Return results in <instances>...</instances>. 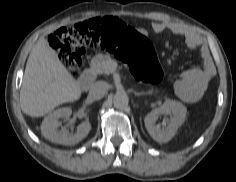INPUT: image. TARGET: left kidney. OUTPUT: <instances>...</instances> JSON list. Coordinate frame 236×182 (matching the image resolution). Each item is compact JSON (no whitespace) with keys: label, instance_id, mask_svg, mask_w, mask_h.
Wrapping results in <instances>:
<instances>
[{"label":"left kidney","instance_id":"5707ae66","mask_svg":"<svg viewBox=\"0 0 236 182\" xmlns=\"http://www.w3.org/2000/svg\"><path fill=\"white\" fill-rule=\"evenodd\" d=\"M186 114L187 109L182 103L167 99L163 105L153 109L145 116V127L155 141L158 143H166L174 137L178 128L184 122ZM161 115L171 116V118L166 121L167 126L162 129L159 125H156V121Z\"/></svg>","mask_w":236,"mask_h":182}]
</instances>
